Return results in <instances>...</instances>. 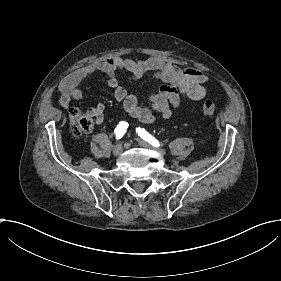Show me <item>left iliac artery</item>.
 Returning <instances> with one entry per match:
<instances>
[{"mask_svg":"<svg viewBox=\"0 0 281 281\" xmlns=\"http://www.w3.org/2000/svg\"><path fill=\"white\" fill-rule=\"evenodd\" d=\"M136 132L138 133V135L143 140L147 141L152 146H154V147H159L160 146L159 142L152 135H150L148 132H146L144 128L141 129L140 127H138V128H136Z\"/></svg>","mask_w":281,"mask_h":281,"instance_id":"1","label":"left iliac artery"}]
</instances>
